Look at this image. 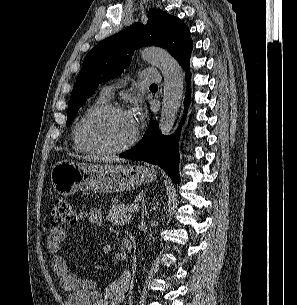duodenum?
I'll return each mask as SVG.
<instances>
[{
	"label": "duodenum",
	"instance_id": "duodenum-1",
	"mask_svg": "<svg viewBox=\"0 0 297 305\" xmlns=\"http://www.w3.org/2000/svg\"><path fill=\"white\" fill-rule=\"evenodd\" d=\"M124 245L128 252H132L134 249L133 239L130 236H126L124 239Z\"/></svg>",
	"mask_w": 297,
	"mask_h": 305
}]
</instances>
